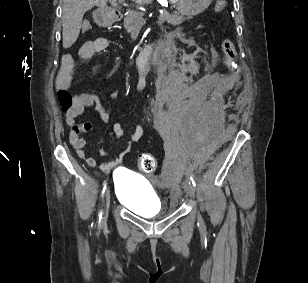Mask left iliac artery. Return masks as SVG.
Returning <instances> with one entry per match:
<instances>
[{"instance_id":"obj_1","label":"left iliac artery","mask_w":308,"mask_h":283,"mask_svg":"<svg viewBox=\"0 0 308 283\" xmlns=\"http://www.w3.org/2000/svg\"><path fill=\"white\" fill-rule=\"evenodd\" d=\"M187 174L189 175L190 180H191L193 186H196V183H195V180H194V175H193V173L191 172V170H187Z\"/></svg>"}]
</instances>
